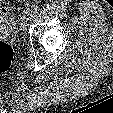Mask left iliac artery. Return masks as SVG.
<instances>
[{
	"instance_id": "1",
	"label": "left iliac artery",
	"mask_w": 113,
	"mask_h": 113,
	"mask_svg": "<svg viewBox=\"0 0 113 113\" xmlns=\"http://www.w3.org/2000/svg\"><path fill=\"white\" fill-rule=\"evenodd\" d=\"M38 10H39L38 4H33V5L31 6V8H30V12L33 13V14H34V13H37Z\"/></svg>"
}]
</instances>
